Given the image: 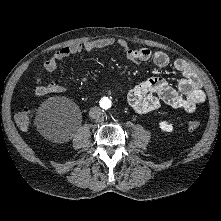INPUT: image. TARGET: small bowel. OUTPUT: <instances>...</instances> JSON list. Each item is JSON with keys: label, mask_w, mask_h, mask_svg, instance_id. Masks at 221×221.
Here are the masks:
<instances>
[{"label": "small bowel", "mask_w": 221, "mask_h": 221, "mask_svg": "<svg viewBox=\"0 0 221 221\" xmlns=\"http://www.w3.org/2000/svg\"><path fill=\"white\" fill-rule=\"evenodd\" d=\"M117 45L124 56L135 63L153 61L160 68L166 67L170 63L169 56L163 51H152L149 48L133 49L124 39L115 40L112 37L97 38L78 42L65 46L58 50L50 59L43 63L46 72L52 73L57 69V64L71 55L90 52L97 49H104ZM173 68L179 71L182 78L177 88L172 87L165 79L161 77H152L137 84L128 91V102L131 107L141 114L154 111L162 104H166L174 109H182L187 113L195 112L197 105L204 102L206 94L202 84L194 73L188 62L183 59H177L173 63ZM35 94L44 96L52 93H61L65 88L52 82L45 84L40 78L36 80ZM27 131L28 127L21 129Z\"/></svg>", "instance_id": "1"}]
</instances>
